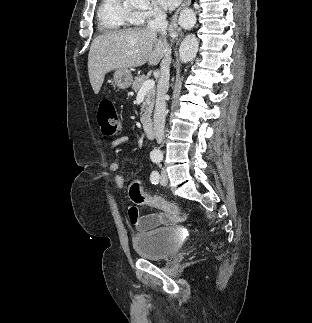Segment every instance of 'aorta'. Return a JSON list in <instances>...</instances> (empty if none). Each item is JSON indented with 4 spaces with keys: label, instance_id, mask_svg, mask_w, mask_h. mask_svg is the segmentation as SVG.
<instances>
[{
    "label": "aorta",
    "instance_id": "obj_1",
    "mask_svg": "<svg viewBox=\"0 0 312 323\" xmlns=\"http://www.w3.org/2000/svg\"><path fill=\"white\" fill-rule=\"evenodd\" d=\"M199 42L193 34L185 36L181 46L179 48V56L182 64H187V62H192L196 58L198 52Z\"/></svg>",
    "mask_w": 312,
    "mask_h": 323
}]
</instances>
